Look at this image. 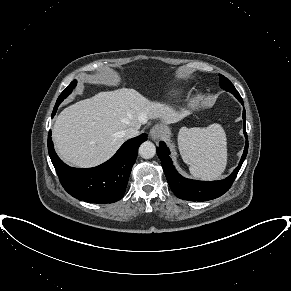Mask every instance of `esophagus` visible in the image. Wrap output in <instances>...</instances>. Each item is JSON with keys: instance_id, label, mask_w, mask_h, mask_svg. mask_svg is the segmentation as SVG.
<instances>
[{"instance_id": "1", "label": "esophagus", "mask_w": 291, "mask_h": 291, "mask_svg": "<svg viewBox=\"0 0 291 291\" xmlns=\"http://www.w3.org/2000/svg\"><path fill=\"white\" fill-rule=\"evenodd\" d=\"M162 134L163 128L158 124L154 125L150 130V137L153 141L159 140Z\"/></svg>"}]
</instances>
